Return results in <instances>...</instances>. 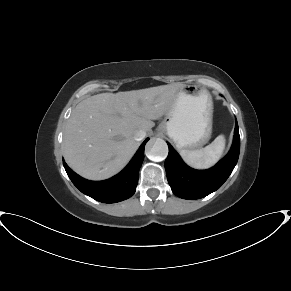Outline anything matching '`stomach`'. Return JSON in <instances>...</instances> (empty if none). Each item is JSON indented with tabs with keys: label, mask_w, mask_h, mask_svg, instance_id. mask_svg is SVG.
I'll use <instances>...</instances> for the list:
<instances>
[{
	"label": "stomach",
	"mask_w": 291,
	"mask_h": 291,
	"mask_svg": "<svg viewBox=\"0 0 291 291\" xmlns=\"http://www.w3.org/2000/svg\"><path fill=\"white\" fill-rule=\"evenodd\" d=\"M213 102L208 90L196 85L179 88L158 131L167 134L179 149L195 150L212 133Z\"/></svg>",
	"instance_id": "1"
}]
</instances>
